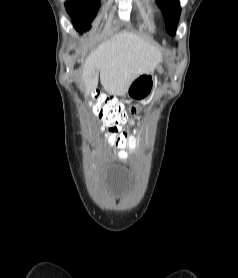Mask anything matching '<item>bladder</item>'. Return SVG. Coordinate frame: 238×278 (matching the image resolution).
Returning a JSON list of instances; mask_svg holds the SVG:
<instances>
[{"mask_svg":"<svg viewBox=\"0 0 238 278\" xmlns=\"http://www.w3.org/2000/svg\"><path fill=\"white\" fill-rule=\"evenodd\" d=\"M112 173V175H110ZM120 174V175H117ZM128 174V169H118V167H111L107 172L104 173V176L107 177L108 180H129L130 176L125 175ZM126 181H118L117 184H112V189H119L122 191V186H126ZM121 186V187H120Z\"/></svg>","mask_w":238,"mask_h":278,"instance_id":"1","label":"bladder"}]
</instances>
